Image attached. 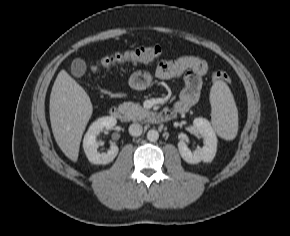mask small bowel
Masks as SVG:
<instances>
[{"label": "small bowel", "mask_w": 290, "mask_h": 236, "mask_svg": "<svg viewBox=\"0 0 290 236\" xmlns=\"http://www.w3.org/2000/svg\"><path fill=\"white\" fill-rule=\"evenodd\" d=\"M209 70V62L202 55L186 54L173 60L161 61L152 72L133 73L130 77V86L135 90H144L154 80L182 77L185 86L174 108L185 111L199 100L203 78Z\"/></svg>", "instance_id": "small-bowel-1"}]
</instances>
